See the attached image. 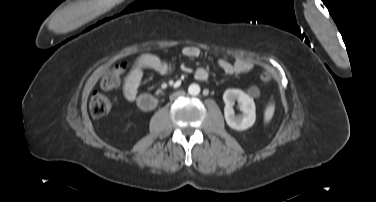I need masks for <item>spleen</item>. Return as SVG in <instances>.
I'll list each match as a JSON object with an SVG mask.
<instances>
[{
  "mask_svg": "<svg viewBox=\"0 0 376 202\" xmlns=\"http://www.w3.org/2000/svg\"><path fill=\"white\" fill-rule=\"evenodd\" d=\"M273 112H274V105L271 104L267 107L266 112H265V120L266 121L271 119Z\"/></svg>",
  "mask_w": 376,
  "mask_h": 202,
  "instance_id": "spleen-1",
  "label": "spleen"
}]
</instances>
